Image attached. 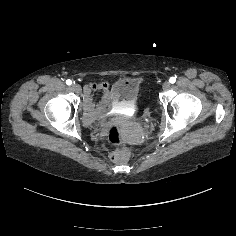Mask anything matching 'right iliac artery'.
Returning a JSON list of instances; mask_svg holds the SVG:
<instances>
[{
	"mask_svg": "<svg viewBox=\"0 0 236 236\" xmlns=\"http://www.w3.org/2000/svg\"><path fill=\"white\" fill-rule=\"evenodd\" d=\"M66 84L67 85H71L72 84V81L70 79L66 80Z\"/></svg>",
	"mask_w": 236,
	"mask_h": 236,
	"instance_id": "obj_1",
	"label": "right iliac artery"
}]
</instances>
